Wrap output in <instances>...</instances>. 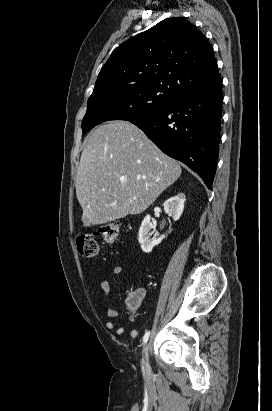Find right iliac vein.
Returning <instances> with one entry per match:
<instances>
[{"mask_svg":"<svg viewBox=\"0 0 272 411\" xmlns=\"http://www.w3.org/2000/svg\"><path fill=\"white\" fill-rule=\"evenodd\" d=\"M149 349H150L149 343L145 344V346L143 347V361H144L145 368H147L149 364Z\"/></svg>","mask_w":272,"mask_h":411,"instance_id":"right-iliac-vein-1","label":"right iliac vein"}]
</instances>
